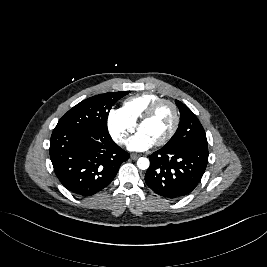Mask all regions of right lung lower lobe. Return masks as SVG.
Masks as SVG:
<instances>
[{"instance_id":"obj_1","label":"right lung lower lobe","mask_w":267,"mask_h":267,"mask_svg":"<svg viewBox=\"0 0 267 267\" xmlns=\"http://www.w3.org/2000/svg\"><path fill=\"white\" fill-rule=\"evenodd\" d=\"M50 158L63 186L78 196L101 191L116 176L129 153L120 148L108 131L54 129Z\"/></svg>"}]
</instances>
